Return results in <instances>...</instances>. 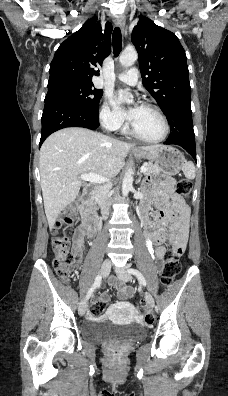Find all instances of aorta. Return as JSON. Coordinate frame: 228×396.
<instances>
[{
	"instance_id": "aorta-1",
	"label": "aorta",
	"mask_w": 228,
	"mask_h": 396,
	"mask_svg": "<svg viewBox=\"0 0 228 396\" xmlns=\"http://www.w3.org/2000/svg\"><path fill=\"white\" fill-rule=\"evenodd\" d=\"M138 59V54L135 50H125L122 52L120 56V63L122 66L129 67L133 65ZM119 95L123 97L124 101L127 103H131L133 101V95L124 90H119ZM133 184V172L132 169L129 168L124 175L122 181V194L123 196H127L129 191L132 189Z\"/></svg>"
}]
</instances>
